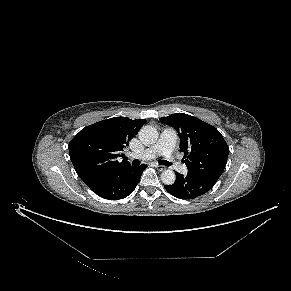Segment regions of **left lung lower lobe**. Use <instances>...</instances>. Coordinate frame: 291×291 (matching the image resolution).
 I'll return each instance as SVG.
<instances>
[{
    "label": "left lung lower lobe",
    "mask_w": 291,
    "mask_h": 291,
    "mask_svg": "<svg viewBox=\"0 0 291 291\" xmlns=\"http://www.w3.org/2000/svg\"><path fill=\"white\" fill-rule=\"evenodd\" d=\"M215 174H182L176 173V180L172 185H165V189L180 199H194L208 192L219 179Z\"/></svg>",
    "instance_id": "left-lung-lower-lobe-1"
}]
</instances>
